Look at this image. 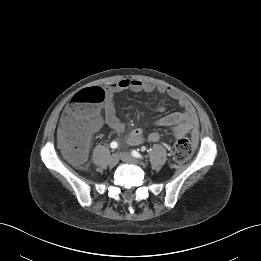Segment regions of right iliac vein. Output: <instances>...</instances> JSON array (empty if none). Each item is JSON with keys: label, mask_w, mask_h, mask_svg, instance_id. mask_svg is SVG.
<instances>
[{"label": "right iliac vein", "mask_w": 261, "mask_h": 261, "mask_svg": "<svg viewBox=\"0 0 261 261\" xmlns=\"http://www.w3.org/2000/svg\"><path fill=\"white\" fill-rule=\"evenodd\" d=\"M119 158L117 154H112L108 159V165L114 167L118 164Z\"/></svg>", "instance_id": "obj_1"}]
</instances>
